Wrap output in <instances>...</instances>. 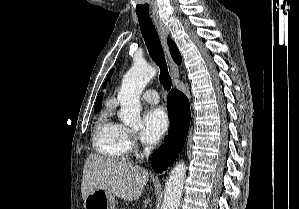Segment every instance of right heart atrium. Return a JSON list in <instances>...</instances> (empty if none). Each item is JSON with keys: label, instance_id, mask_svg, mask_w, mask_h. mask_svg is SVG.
<instances>
[{"label": "right heart atrium", "instance_id": "d8ad5b80", "mask_svg": "<svg viewBox=\"0 0 299 209\" xmlns=\"http://www.w3.org/2000/svg\"><path fill=\"white\" fill-rule=\"evenodd\" d=\"M128 144L130 148L135 144V138L131 135H128Z\"/></svg>", "mask_w": 299, "mask_h": 209}]
</instances>
